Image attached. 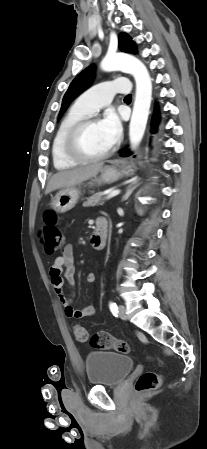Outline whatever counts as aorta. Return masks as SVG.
Listing matches in <instances>:
<instances>
[{
  "instance_id": "762f6f07",
  "label": "aorta",
  "mask_w": 207,
  "mask_h": 449,
  "mask_svg": "<svg viewBox=\"0 0 207 449\" xmlns=\"http://www.w3.org/2000/svg\"><path fill=\"white\" fill-rule=\"evenodd\" d=\"M104 71H123L133 75L136 81V96L129 125V138L132 145L141 142L152 100V81L146 66L137 58L116 53L107 55L101 62Z\"/></svg>"
}]
</instances>
